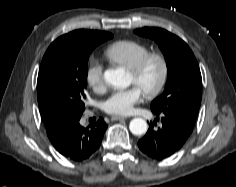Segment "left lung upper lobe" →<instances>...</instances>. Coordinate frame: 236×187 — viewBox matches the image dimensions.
<instances>
[{"instance_id":"1","label":"left lung upper lobe","mask_w":236,"mask_h":187,"mask_svg":"<svg viewBox=\"0 0 236 187\" xmlns=\"http://www.w3.org/2000/svg\"><path fill=\"white\" fill-rule=\"evenodd\" d=\"M134 32L155 40L167 64L165 90L152 101V112L174 115L194 124L201 104L202 78L193 52L182 39L164 29L144 27Z\"/></svg>"}]
</instances>
